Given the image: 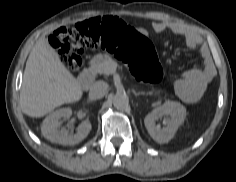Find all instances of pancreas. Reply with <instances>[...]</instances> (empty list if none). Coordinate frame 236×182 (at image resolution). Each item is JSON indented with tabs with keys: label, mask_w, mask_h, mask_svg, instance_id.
Instances as JSON below:
<instances>
[{
	"label": "pancreas",
	"mask_w": 236,
	"mask_h": 182,
	"mask_svg": "<svg viewBox=\"0 0 236 182\" xmlns=\"http://www.w3.org/2000/svg\"><path fill=\"white\" fill-rule=\"evenodd\" d=\"M91 70L94 73L110 75L115 72L116 66L109 55L97 54L91 59Z\"/></svg>",
	"instance_id": "1"
}]
</instances>
